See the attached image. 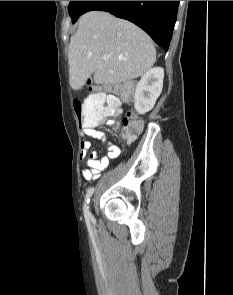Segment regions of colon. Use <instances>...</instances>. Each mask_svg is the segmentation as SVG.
I'll return each instance as SVG.
<instances>
[{"label": "colon", "instance_id": "colon-1", "mask_svg": "<svg viewBox=\"0 0 233 295\" xmlns=\"http://www.w3.org/2000/svg\"><path fill=\"white\" fill-rule=\"evenodd\" d=\"M136 86L133 81L104 86L95 89V92L83 102L75 100L74 109L80 124L93 125L107 116L118 115L120 113L118 96H132ZM141 129L142 121L132 112H128L123 119L122 138L131 141Z\"/></svg>", "mask_w": 233, "mask_h": 295}]
</instances>
